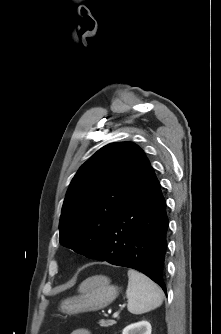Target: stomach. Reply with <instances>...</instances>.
I'll list each match as a JSON object with an SVG mask.
<instances>
[{"label":"stomach","mask_w":221,"mask_h":334,"mask_svg":"<svg viewBox=\"0 0 221 334\" xmlns=\"http://www.w3.org/2000/svg\"><path fill=\"white\" fill-rule=\"evenodd\" d=\"M118 291V287L112 285L107 277L92 276L80 285L78 296L61 302L60 310L69 315L97 311L111 304L116 299Z\"/></svg>","instance_id":"stomach-1"}]
</instances>
